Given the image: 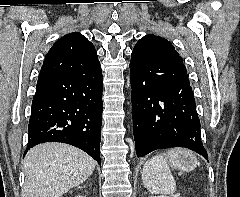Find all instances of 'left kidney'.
<instances>
[{
    "label": "left kidney",
    "mask_w": 240,
    "mask_h": 197,
    "mask_svg": "<svg viewBox=\"0 0 240 197\" xmlns=\"http://www.w3.org/2000/svg\"><path fill=\"white\" fill-rule=\"evenodd\" d=\"M150 197H167V196L160 195V196H150Z\"/></svg>",
    "instance_id": "1"
}]
</instances>
